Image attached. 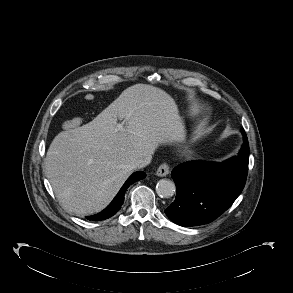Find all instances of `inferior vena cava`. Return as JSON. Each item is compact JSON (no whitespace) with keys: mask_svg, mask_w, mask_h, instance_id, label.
Listing matches in <instances>:
<instances>
[{"mask_svg":"<svg viewBox=\"0 0 293 293\" xmlns=\"http://www.w3.org/2000/svg\"><path fill=\"white\" fill-rule=\"evenodd\" d=\"M151 160H152V155L147 154L141 158L136 159L133 163V167L135 169L146 167L151 162Z\"/></svg>","mask_w":293,"mask_h":293,"instance_id":"obj_1","label":"inferior vena cava"}]
</instances>
